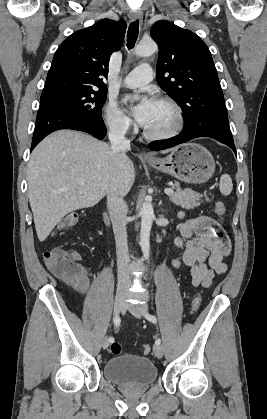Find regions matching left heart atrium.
<instances>
[{
	"label": "left heart atrium",
	"instance_id": "39dd6f15",
	"mask_svg": "<svg viewBox=\"0 0 267 419\" xmlns=\"http://www.w3.org/2000/svg\"><path fill=\"white\" fill-rule=\"evenodd\" d=\"M125 101L134 104L133 115L137 122L144 126L148 121L154 100L146 96L129 95Z\"/></svg>",
	"mask_w": 267,
	"mask_h": 419
}]
</instances>
